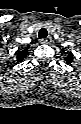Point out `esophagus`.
Listing matches in <instances>:
<instances>
[{"mask_svg": "<svg viewBox=\"0 0 81 124\" xmlns=\"http://www.w3.org/2000/svg\"><path fill=\"white\" fill-rule=\"evenodd\" d=\"M40 42H41L42 44H51L52 38L49 36V37H47V38L41 39Z\"/></svg>", "mask_w": 81, "mask_h": 124, "instance_id": "1", "label": "esophagus"}]
</instances>
